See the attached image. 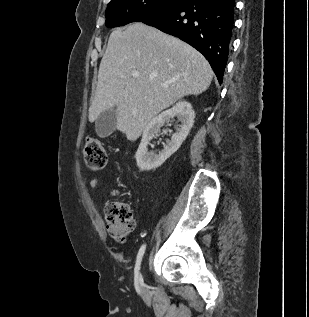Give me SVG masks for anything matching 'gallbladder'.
<instances>
[{"mask_svg":"<svg viewBox=\"0 0 309 317\" xmlns=\"http://www.w3.org/2000/svg\"><path fill=\"white\" fill-rule=\"evenodd\" d=\"M117 108L113 107L102 112L95 121V130L99 137L109 136L116 128Z\"/></svg>","mask_w":309,"mask_h":317,"instance_id":"obj_1","label":"gallbladder"}]
</instances>
